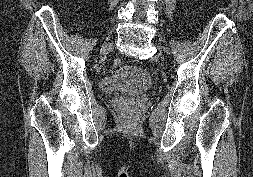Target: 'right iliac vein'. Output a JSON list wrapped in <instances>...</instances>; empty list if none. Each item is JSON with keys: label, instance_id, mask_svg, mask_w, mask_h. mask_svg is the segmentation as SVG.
I'll return each instance as SVG.
<instances>
[{"label": "right iliac vein", "instance_id": "right-iliac-vein-1", "mask_svg": "<svg viewBox=\"0 0 253 177\" xmlns=\"http://www.w3.org/2000/svg\"><path fill=\"white\" fill-rule=\"evenodd\" d=\"M113 48V44L112 43H108V44H106L104 47H103V50L105 51V50H110V49H112Z\"/></svg>", "mask_w": 253, "mask_h": 177}]
</instances>
